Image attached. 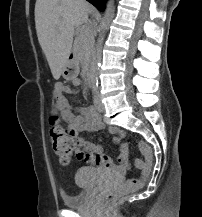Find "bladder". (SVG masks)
Masks as SVG:
<instances>
[{
  "mask_svg": "<svg viewBox=\"0 0 202 217\" xmlns=\"http://www.w3.org/2000/svg\"><path fill=\"white\" fill-rule=\"evenodd\" d=\"M102 171L93 167H81L75 174V183L79 187L76 195L62 194V203L67 207H83L92 197V189L97 184Z\"/></svg>",
  "mask_w": 202,
  "mask_h": 217,
  "instance_id": "obj_1",
  "label": "bladder"
}]
</instances>
